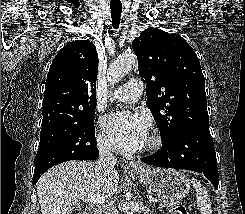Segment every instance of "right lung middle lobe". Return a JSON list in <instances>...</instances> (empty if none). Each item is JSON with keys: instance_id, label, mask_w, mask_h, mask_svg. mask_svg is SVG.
Returning <instances> with one entry per match:
<instances>
[{"instance_id": "1", "label": "right lung middle lobe", "mask_w": 245, "mask_h": 214, "mask_svg": "<svg viewBox=\"0 0 245 214\" xmlns=\"http://www.w3.org/2000/svg\"><path fill=\"white\" fill-rule=\"evenodd\" d=\"M94 114L92 111L75 123L40 133L34 172L46 171L69 160L91 159L89 152L96 146Z\"/></svg>"}]
</instances>
